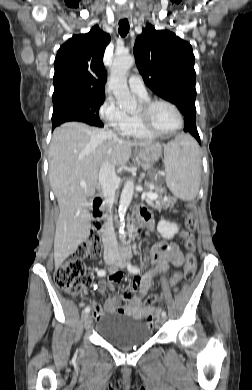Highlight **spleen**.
Masks as SVG:
<instances>
[{"mask_svg": "<svg viewBox=\"0 0 252 390\" xmlns=\"http://www.w3.org/2000/svg\"><path fill=\"white\" fill-rule=\"evenodd\" d=\"M166 184L170 191L184 201L195 199L201 181V161L196 142L179 135L164 150Z\"/></svg>", "mask_w": 252, "mask_h": 390, "instance_id": "spleen-1", "label": "spleen"}]
</instances>
